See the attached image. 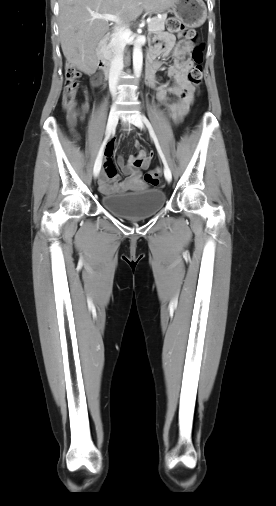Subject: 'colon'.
Segmentation results:
<instances>
[{
    "instance_id": "1",
    "label": "colon",
    "mask_w": 276,
    "mask_h": 506,
    "mask_svg": "<svg viewBox=\"0 0 276 506\" xmlns=\"http://www.w3.org/2000/svg\"><path fill=\"white\" fill-rule=\"evenodd\" d=\"M167 29L172 33H178L183 38H191L189 44L192 51L193 65L188 71L187 79L195 86H199L203 76V43L196 42V34L193 31H186L182 23L175 17L167 21ZM65 85L62 96L63 108L71 126L75 124L79 110L76 106V97L79 88L80 72L72 65L65 68ZM161 172L159 169L149 171L145 174L144 180L151 185H157L160 182Z\"/></svg>"
}]
</instances>
